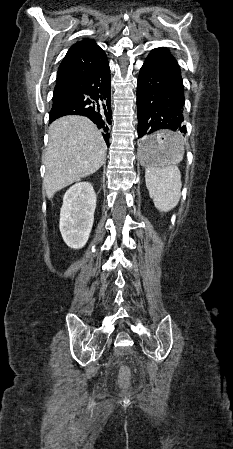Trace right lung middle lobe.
I'll list each match as a JSON object with an SVG mask.
<instances>
[{
  "label": "right lung middle lobe",
  "mask_w": 233,
  "mask_h": 449,
  "mask_svg": "<svg viewBox=\"0 0 233 449\" xmlns=\"http://www.w3.org/2000/svg\"><path fill=\"white\" fill-rule=\"evenodd\" d=\"M63 95H65V92L62 90H54L53 100H57L59 98H62Z\"/></svg>",
  "instance_id": "right-lung-middle-lobe-1"
}]
</instances>
